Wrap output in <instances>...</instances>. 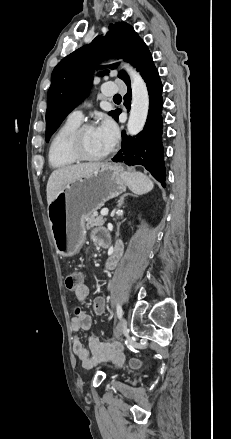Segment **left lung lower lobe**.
Segmentation results:
<instances>
[{"label": "left lung lower lobe", "mask_w": 231, "mask_h": 439, "mask_svg": "<svg viewBox=\"0 0 231 439\" xmlns=\"http://www.w3.org/2000/svg\"><path fill=\"white\" fill-rule=\"evenodd\" d=\"M135 67L140 72L146 82L149 93V112L144 129L135 137L126 136L122 132V148L112 158L114 162H122L128 166H144L161 184L165 187V166L162 145V84L157 69L154 66L152 56L145 49ZM128 87V92L124 96L125 105L129 109L131 104V87L130 79L127 77L124 81ZM121 110L117 111V116Z\"/></svg>", "instance_id": "0a47b994"}]
</instances>
